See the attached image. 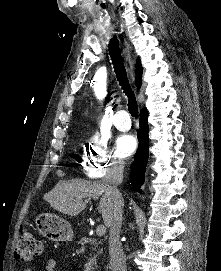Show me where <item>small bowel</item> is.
<instances>
[{"mask_svg":"<svg viewBox=\"0 0 221 271\" xmlns=\"http://www.w3.org/2000/svg\"><path fill=\"white\" fill-rule=\"evenodd\" d=\"M57 262L54 258H48L46 263H45V271H54L56 268ZM25 271H31V269L27 268Z\"/></svg>","mask_w":221,"mask_h":271,"instance_id":"small-bowel-1","label":"small bowel"}]
</instances>
